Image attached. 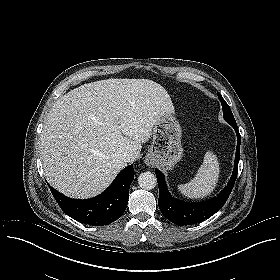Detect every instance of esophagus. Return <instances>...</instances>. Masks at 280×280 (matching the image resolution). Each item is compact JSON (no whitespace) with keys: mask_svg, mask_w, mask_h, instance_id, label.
<instances>
[{"mask_svg":"<svg viewBox=\"0 0 280 280\" xmlns=\"http://www.w3.org/2000/svg\"><path fill=\"white\" fill-rule=\"evenodd\" d=\"M145 162H146V164L148 165V166H151V167H153L154 166V162L151 160V159H146L145 160Z\"/></svg>","mask_w":280,"mask_h":280,"instance_id":"obj_1","label":"esophagus"}]
</instances>
